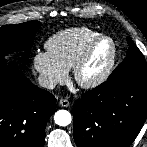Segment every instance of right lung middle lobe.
Segmentation results:
<instances>
[{
	"label": "right lung middle lobe",
	"mask_w": 147,
	"mask_h": 147,
	"mask_svg": "<svg viewBox=\"0 0 147 147\" xmlns=\"http://www.w3.org/2000/svg\"><path fill=\"white\" fill-rule=\"evenodd\" d=\"M40 25L38 21H31L2 26L0 28V58L17 50H23L22 55L27 58Z\"/></svg>",
	"instance_id": "1"
}]
</instances>
